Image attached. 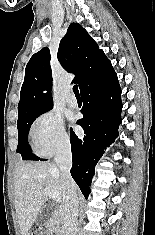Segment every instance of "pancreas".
Returning a JSON list of instances; mask_svg holds the SVG:
<instances>
[{
	"label": "pancreas",
	"mask_w": 155,
	"mask_h": 235,
	"mask_svg": "<svg viewBox=\"0 0 155 235\" xmlns=\"http://www.w3.org/2000/svg\"><path fill=\"white\" fill-rule=\"evenodd\" d=\"M48 229L52 232H55L57 235H61V231L59 229V224L58 221L52 220L49 224H48Z\"/></svg>",
	"instance_id": "obj_1"
}]
</instances>
